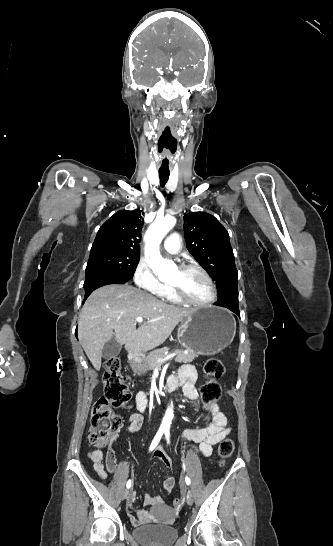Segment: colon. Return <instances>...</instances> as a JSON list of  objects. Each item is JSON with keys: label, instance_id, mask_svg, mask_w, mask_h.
<instances>
[{"label": "colon", "instance_id": "obj_1", "mask_svg": "<svg viewBox=\"0 0 333 546\" xmlns=\"http://www.w3.org/2000/svg\"><path fill=\"white\" fill-rule=\"evenodd\" d=\"M104 368V396L96 401L91 414L89 440L96 447L106 445L116 436L121 421L115 409L126 407L131 399L129 386L120 371V360L111 357L105 361ZM203 372L206 380L200 389L201 399L204 405L209 406L221 397V386L217 379L225 375V366L221 360L211 358L204 363ZM234 448L232 439L224 438L220 441L218 456L221 463L231 457ZM182 505V499H174L175 508Z\"/></svg>", "mask_w": 333, "mask_h": 546}]
</instances>
